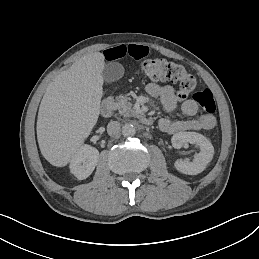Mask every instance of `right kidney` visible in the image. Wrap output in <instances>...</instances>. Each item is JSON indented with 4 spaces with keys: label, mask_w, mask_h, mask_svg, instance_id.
Segmentation results:
<instances>
[{
    "label": "right kidney",
    "mask_w": 259,
    "mask_h": 259,
    "mask_svg": "<svg viewBox=\"0 0 259 259\" xmlns=\"http://www.w3.org/2000/svg\"><path fill=\"white\" fill-rule=\"evenodd\" d=\"M99 160V152L90 145H83L70 161V171L79 180L91 175Z\"/></svg>",
    "instance_id": "1"
}]
</instances>
